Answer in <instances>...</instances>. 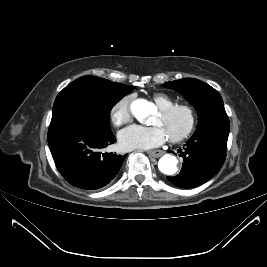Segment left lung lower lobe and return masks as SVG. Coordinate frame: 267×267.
I'll use <instances>...</instances> for the list:
<instances>
[{"instance_id": "1", "label": "left lung lower lobe", "mask_w": 267, "mask_h": 267, "mask_svg": "<svg viewBox=\"0 0 267 267\" xmlns=\"http://www.w3.org/2000/svg\"><path fill=\"white\" fill-rule=\"evenodd\" d=\"M229 129V124L198 128L186 147L178 150L184 159L181 172L167 179L181 188H193L210 180L225 161Z\"/></svg>"}]
</instances>
